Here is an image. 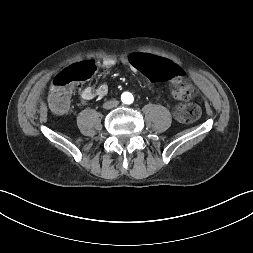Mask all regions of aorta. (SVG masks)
Returning <instances> with one entry per match:
<instances>
[{
	"mask_svg": "<svg viewBox=\"0 0 253 253\" xmlns=\"http://www.w3.org/2000/svg\"><path fill=\"white\" fill-rule=\"evenodd\" d=\"M121 99L125 104H130L133 101V96L131 93L125 92L122 94Z\"/></svg>",
	"mask_w": 253,
	"mask_h": 253,
	"instance_id": "1",
	"label": "aorta"
}]
</instances>
